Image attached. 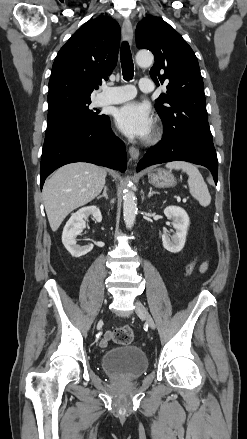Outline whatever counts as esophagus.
<instances>
[{
  "label": "esophagus",
  "mask_w": 247,
  "mask_h": 439,
  "mask_svg": "<svg viewBox=\"0 0 247 439\" xmlns=\"http://www.w3.org/2000/svg\"><path fill=\"white\" fill-rule=\"evenodd\" d=\"M122 35H123V38L129 42V44H132V42H133V27H132L131 22L128 19L124 20V22H123ZM139 154H140V152L136 147H133V146L129 147V155H130L132 160L136 161L139 157Z\"/></svg>",
  "instance_id": "obj_1"
}]
</instances>
